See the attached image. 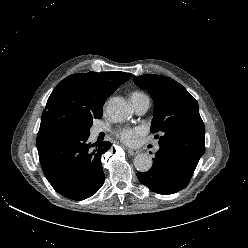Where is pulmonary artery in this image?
<instances>
[{"mask_svg":"<svg viewBox=\"0 0 248 248\" xmlns=\"http://www.w3.org/2000/svg\"><path fill=\"white\" fill-rule=\"evenodd\" d=\"M131 101L135 111L138 114H144L150 107V100L145 96H134L131 97ZM102 131L101 128L97 127L93 129V134L98 135Z\"/></svg>","mask_w":248,"mask_h":248,"instance_id":"1","label":"pulmonary artery"}]
</instances>
